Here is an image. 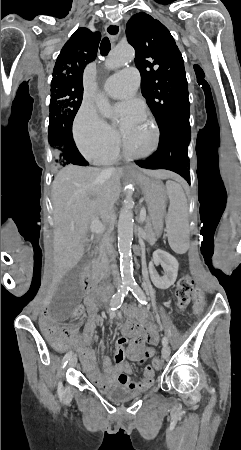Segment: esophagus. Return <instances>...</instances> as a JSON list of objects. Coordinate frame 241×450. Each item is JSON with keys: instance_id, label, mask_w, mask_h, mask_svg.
<instances>
[{"instance_id": "1", "label": "esophagus", "mask_w": 241, "mask_h": 450, "mask_svg": "<svg viewBox=\"0 0 241 450\" xmlns=\"http://www.w3.org/2000/svg\"><path fill=\"white\" fill-rule=\"evenodd\" d=\"M105 32H106L107 36L113 41V40H115L116 38L119 37V35L121 33V28H120L119 24L114 23V22H112V23L110 22V23H107V25H105ZM123 168H130L131 169L132 166L131 165H126Z\"/></svg>"}]
</instances>
